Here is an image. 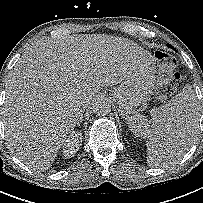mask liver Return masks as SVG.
<instances>
[{"label": "liver", "instance_id": "obj_1", "mask_svg": "<svg viewBox=\"0 0 203 203\" xmlns=\"http://www.w3.org/2000/svg\"><path fill=\"white\" fill-rule=\"evenodd\" d=\"M153 62L149 52L121 37H43L22 56L6 80L2 114L6 140L29 168L45 171L102 87L120 84ZM174 124L167 138L185 139Z\"/></svg>", "mask_w": 203, "mask_h": 203}]
</instances>
